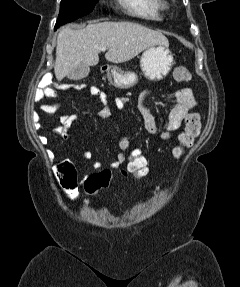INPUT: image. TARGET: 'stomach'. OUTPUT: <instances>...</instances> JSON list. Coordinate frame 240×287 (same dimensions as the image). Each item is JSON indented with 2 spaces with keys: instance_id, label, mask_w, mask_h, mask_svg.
<instances>
[{
  "instance_id": "stomach-1",
  "label": "stomach",
  "mask_w": 240,
  "mask_h": 287,
  "mask_svg": "<svg viewBox=\"0 0 240 287\" xmlns=\"http://www.w3.org/2000/svg\"><path fill=\"white\" fill-rule=\"evenodd\" d=\"M174 64L168 45H153L145 49L140 59L144 76L151 81L164 79ZM107 78L116 87L128 88L138 81L135 72L123 71L117 66L107 68Z\"/></svg>"
}]
</instances>
